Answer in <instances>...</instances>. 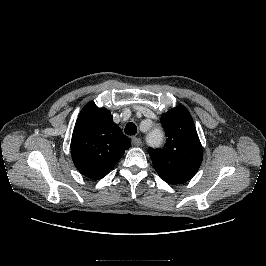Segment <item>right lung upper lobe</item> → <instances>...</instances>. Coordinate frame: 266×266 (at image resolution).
Masks as SVG:
<instances>
[{
	"label": "right lung upper lobe",
	"instance_id": "obj_1",
	"mask_svg": "<svg viewBox=\"0 0 266 266\" xmlns=\"http://www.w3.org/2000/svg\"><path fill=\"white\" fill-rule=\"evenodd\" d=\"M130 145L110 111L93 101L84 106L71 140L72 159L81 174L94 180L105 177Z\"/></svg>",
	"mask_w": 266,
	"mask_h": 266
}]
</instances>
